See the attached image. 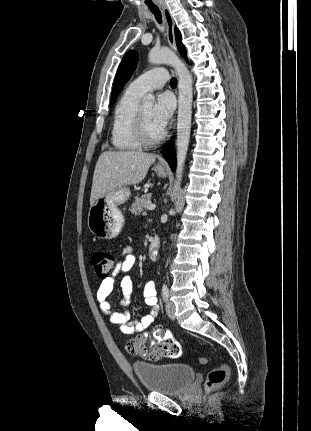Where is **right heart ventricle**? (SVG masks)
<instances>
[{"label": "right heart ventricle", "mask_w": 311, "mask_h": 431, "mask_svg": "<svg viewBox=\"0 0 311 431\" xmlns=\"http://www.w3.org/2000/svg\"><path fill=\"white\" fill-rule=\"evenodd\" d=\"M141 96L128 88L115 104L112 118L111 142L119 151H136L141 148L135 137L134 120Z\"/></svg>", "instance_id": "obj_1"}]
</instances>
